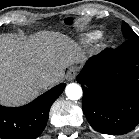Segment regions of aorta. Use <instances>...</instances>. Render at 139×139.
<instances>
[{
  "instance_id": "obj_1",
  "label": "aorta",
  "mask_w": 139,
  "mask_h": 139,
  "mask_svg": "<svg viewBox=\"0 0 139 139\" xmlns=\"http://www.w3.org/2000/svg\"><path fill=\"white\" fill-rule=\"evenodd\" d=\"M65 93L68 99L70 100H78L82 97L83 91L79 84L70 83L65 88Z\"/></svg>"
}]
</instances>
